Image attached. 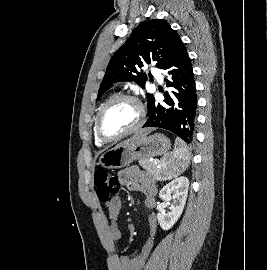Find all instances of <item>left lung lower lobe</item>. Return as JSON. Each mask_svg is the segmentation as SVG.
Masks as SVG:
<instances>
[{
	"mask_svg": "<svg viewBox=\"0 0 267 270\" xmlns=\"http://www.w3.org/2000/svg\"><path fill=\"white\" fill-rule=\"evenodd\" d=\"M166 86L171 92L164 93V102L155 99L148 108L149 116L143 127H158L180 137L186 145H192L197 109V96L190 58L185 45L179 41L166 65Z\"/></svg>",
	"mask_w": 267,
	"mask_h": 270,
	"instance_id": "0a47b994",
	"label": "left lung lower lobe"
}]
</instances>
